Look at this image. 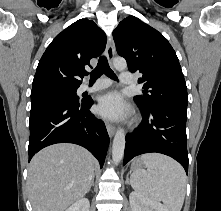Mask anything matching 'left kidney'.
Here are the masks:
<instances>
[{"mask_svg":"<svg viewBox=\"0 0 221 211\" xmlns=\"http://www.w3.org/2000/svg\"><path fill=\"white\" fill-rule=\"evenodd\" d=\"M131 211H169L166 206L159 201L145 197L137 192L129 195Z\"/></svg>","mask_w":221,"mask_h":211,"instance_id":"5707ae66","label":"left kidney"}]
</instances>
